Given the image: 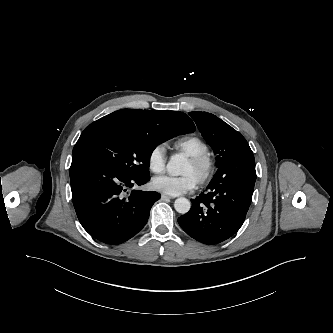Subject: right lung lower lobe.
<instances>
[{
  "label": "right lung lower lobe",
  "mask_w": 333,
  "mask_h": 333,
  "mask_svg": "<svg viewBox=\"0 0 333 333\" xmlns=\"http://www.w3.org/2000/svg\"><path fill=\"white\" fill-rule=\"evenodd\" d=\"M69 173L72 201L81 225L107 244H120L136 235L159 199L157 192L129 191L148 182L150 176L125 175L84 153L73 154Z\"/></svg>",
  "instance_id": "right-lung-lower-lobe-1"
}]
</instances>
